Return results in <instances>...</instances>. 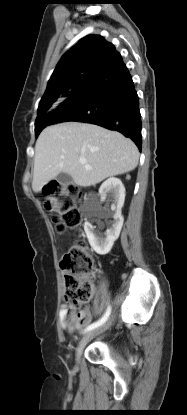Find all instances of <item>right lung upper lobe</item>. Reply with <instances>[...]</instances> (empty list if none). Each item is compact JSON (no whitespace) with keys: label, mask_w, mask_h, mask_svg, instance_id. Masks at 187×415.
Here are the masks:
<instances>
[{"label":"right lung upper lobe","mask_w":187,"mask_h":415,"mask_svg":"<svg viewBox=\"0 0 187 415\" xmlns=\"http://www.w3.org/2000/svg\"><path fill=\"white\" fill-rule=\"evenodd\" d=\"M120 54L100 35H88L67 51L57 64L39 108L55 103L69 89L107 66Z\"/></svg>","instance_id":"cb5924a9"}]
</instances>
